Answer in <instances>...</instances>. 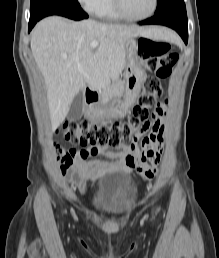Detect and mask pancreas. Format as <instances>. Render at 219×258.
I'll return each instance as SVG.
<instances>
[{
    "instance_id": "obj_1",
    "label": "pancreas",
    "mask_w": 219,
    "mask_h": 258,
    "mask_svg": "<svg viewBox=\"0 0 219 258\" xmlns=\"http://www.w3.org/2000/svg\"><path fill=\"white\" fill-rule=\"evenodd\" d=\"M110 93H114L116 91V88H114L113 86H109L107 89Z\"/></svg>"
}]
</instances>
